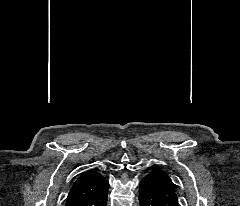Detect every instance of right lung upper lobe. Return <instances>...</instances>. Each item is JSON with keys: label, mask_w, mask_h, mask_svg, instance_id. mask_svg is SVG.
<instances>
[{"label": "right lung upper lobe", "mask_w": 240, "mask_h": 206, "mask_svg": "<svg viewBox=\"0 0 240 206\" xmlns=\"http://www.w3.org/2000/svg\"><path fill=\"white\" fill-rule=\"evenodd\" d=\"M108 181L96 171H89L81 175L73 184L65 206H75L99 193Z\"/></svg>", "instance_id": "right-lung-upper-lobe-1"}]
</instances>
